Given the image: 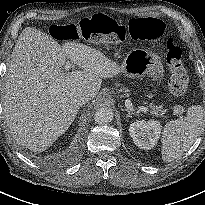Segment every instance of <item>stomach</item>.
<instances>
[{
	"label": "stomach",
	"instance_id": "obj_1",
	"mask_svg": "<svg viewBox=\"0 0 205 205\" xmlns=\"http://www.w3.org/2000/svg\"><path fill=\"white\" fill-rule=\"evenodd\" d=\"M121 72L129 78H140L145 75L155 80L163 76V64L161 60L147 49H132L125 57Z\"/></svg>",
	"mask_w": 205,
	"mask_h": 205
}]
</instances>
